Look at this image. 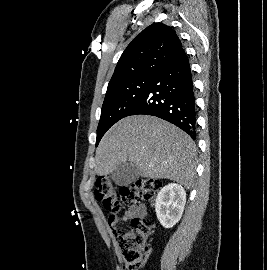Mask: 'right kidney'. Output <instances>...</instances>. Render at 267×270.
<instances>
[{"mask_svg":"<svg viewBox=\"0 0 267 270\" xmlns=\"http://www.w3.org/2000/svg\"><path fill=\"white\" fill-rule=\"evenodd\" d=\"M185 203L186 192L179 184L170 183L159 191L155 211L164 228H172L181 219Z\"/></svg>","mask_w":267,"mask_h":270,"instance_id":"1","label":"right kidney"}]
</instances>
